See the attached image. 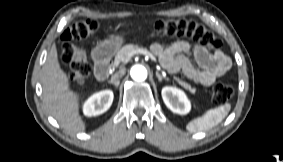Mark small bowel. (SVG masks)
<instances>
[{
    "label": "small bowel",
    "instance_id": "1",
    "mask_svg": "<svg viewBox=\"0 0 283 162\" xmlns=\"http://www.w3.org/2000/svg\"><path fill=\"white\" fill-rule=\"evenodd\" d=\"M151 49L168 71H182L190 80L202 86H210L231 67L230 58L223 52L210 53L196 43L191 45L186 41H177L166 47L162 42H154ZM190 56H193L197 65Z\"/></svg>",
    "mask_w": 283,
    "mask_h": 162
}]
</instances>
